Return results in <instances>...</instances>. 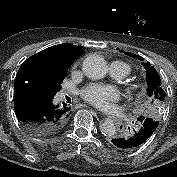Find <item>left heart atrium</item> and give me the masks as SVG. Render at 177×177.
Masks as SVG:
<instances>
[{
	"mask_svg": "<svg viewBox=\"0 0 177 177\" xmlns=\"http://www.w3.org/2000/svg\"><path fill=\"white\" fill-rule=\"evenodd\" d=\"M119 96V91L108 85H90L82 91L84 100L100 109L108 108Z\"/></svg>",
	"mask_w": 177,
	"mask_h": 177,
	"instance_id": "left-heart-atrium-1",
	"label": "left heart atrium"
}]
</instances>
